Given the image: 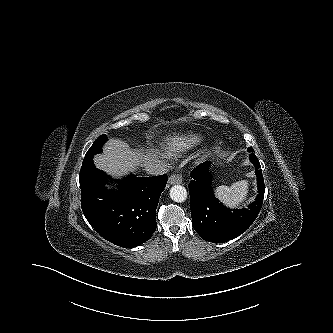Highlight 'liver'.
Here are the masks:
<instances>
[{
    "label": "liver",
    "mask_w": 333,
    "mask_h": 333,
    "mask_svg": "<svg viewBox=\"0 0 333 333\" xmlns=\"http://www.w3.org/2000/svg\"><path fill=\"white\" fill-rule=\"evenodd\" d=\"M150 161H157L154 153L146 155L141 151L133 150L121 139L111 138L103 148V154L94 157L95 166L113 176H122L129 171H135L137 166Z\"/></svg>",
    "instance_id": "liver-1"
}]
</instances>
